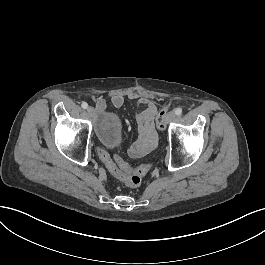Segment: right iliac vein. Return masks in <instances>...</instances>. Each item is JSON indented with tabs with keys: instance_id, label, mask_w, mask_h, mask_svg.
Segmentation results:
<instances>
[{
	"instance_id": "1",
	"label": "right iliac vein",
	"mask_w": 265,
	"mask_h": 265,
	"mask_svg": "<svg viewBox=\"0 0 265 265\" xmlns=\"http://www.w3.org/2000/svg\"><path fill=\"white\" fill-rule=\"evenodd\" d=\"M87 113H88L89 117L92 118L95 114V109L90 106L87 108Z\"/></svg>"
}]
</instances>
